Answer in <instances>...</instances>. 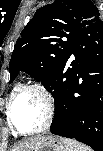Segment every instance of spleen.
<instances>
[{"label":"spleen","instance_id":"obj_1","mask_svg":"<svg viewBox=\"0 0 103 151\" xmlns=\"http://www.w3.org/2000/svg\"><path fill=\"white\" fill-rule=\"evenodd\" d=\"M66 151H92L88 146L69 138H61Z\"/></svg>","mask_w":103,"mask_h":151}]
</instances>
